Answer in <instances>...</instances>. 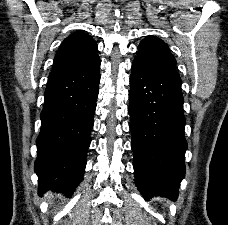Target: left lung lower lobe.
<instances>
[{"mask_svg": "<svg viewBox=\"0 0 228 225\" xmlns=\"http://www.w3.org/2000/svg\"><path fill=\"white\" fill-rule=\"evenodd\" d=\"M129 114L136 185L145 199L175 200L185 176V117L176 70L158 69L134 59Z\"/></svg>", "mask_w": 228, "mask_h": 225, "instance_id": "0a47b994", "label": "left lung lower lobe"}]
</instances>
